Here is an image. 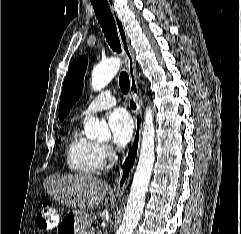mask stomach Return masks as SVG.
<instances>
[{
  "label": "stomach",
  "mask_w": 241,
  "mask_h": 234,
  "mask_svg": "<svg viewBox=\"0 0 241 234\" xmlns=\"http://www.w3.org/2000/svg\"><path fill=\"white\" fill-rule=\"evenodd\" d=\"M88 216L80 210H74L63 218L59 225L60 233L86 234L89 228Z\"/></svg>",
  "instance_id": "1"
}]
</instances>
